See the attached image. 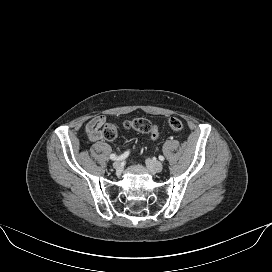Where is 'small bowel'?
<instances>
[{"instance_id":"1","label":"small bowel","mask_w":272,"mask_h":272,"mask_svg":"<svg viewBox=\"0 0 272 272\" xmlns=\"http://www.w3.org/2000/svg\"><path fill=\"white\" fill-rule=\"evenodd\" d=\"M106 123L107 118L103 115H95L88 121L85 131L92 142H98L104 139L103 127Z\"/></svg>"}]
</instances>
